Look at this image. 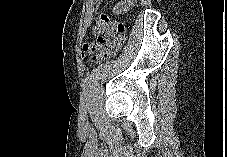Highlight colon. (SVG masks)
Returning a JSON list of instances; mask_svg holds the SVG:
<instances>
[{"label":"colon","mask_w":227,"mask_h":157,"mask_svg":"<svg viewBox=\"0 0 227 157\" xmlns=\"http://www.w3.org/2000/svg\"><path fill=\"white\" fill-rule=\"evenodd\" d=\"M96 41L83 49V57L92 62H99L117 54L125 40V27L123 24L101 16L93 28Z\"/></svg>","instance_id":"obj_1"}]
</instances>
